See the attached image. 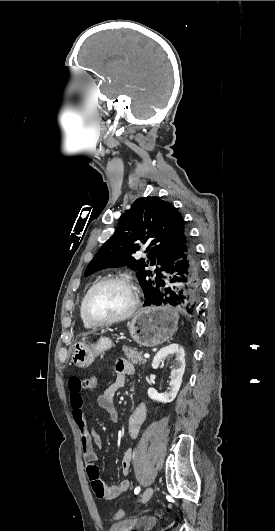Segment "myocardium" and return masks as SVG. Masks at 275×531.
I'll list each match as a JSON object with an SVG mask.
<instances>
[{
    "label": "myocardium",
    "instance_id": "1",
    "mask_svg": "<svg viewBox=\"0 0 275 531\" xmlns=\"http://www.w3.org/2000/svg\"><path fill=\"white\" fill-rule=\"evenodd\" d=\"M108 283H121V284L126 285L130 289L132 293V302H131L130 308L128 309L127 312H125L124 314L118 317L107 319V320H94L90 318L87 314V311H86L87 302L89 298L91 297V295L97 289H99L101 286L108 284ZM139 297H140L139 289L128 276H125V275L107 276L99 280L98 282H96L85 294L81 302V316L86 323L94 327L108 326V325H112L115 323H119V322L129 319L134 314L139 304Z\"/></svg>",
    "mask_w": 275,
    "mask_h": 531
}]
</instances>
